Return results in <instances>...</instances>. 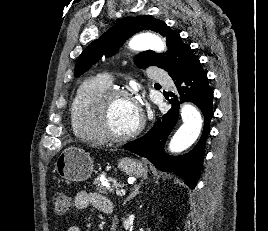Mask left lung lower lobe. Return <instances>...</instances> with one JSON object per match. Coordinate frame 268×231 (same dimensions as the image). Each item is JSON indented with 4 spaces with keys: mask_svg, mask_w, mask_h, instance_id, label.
<instances>
[{
    "mask_svg": "<svg viewBox=\"0 0 268 231\" xmlns=\"http://www.w3.org/2000/svg\"><path fill=\"white\" fill-rule=\"evenodd\" d=\"M171 78L177 87L176 94L172 95L174 98L170 100L172 108L155 122L145 136L125 144L123 148L148 158L161 171L177 174L194 189L199 179L205 142L213 115V92L197 57L181 72L171 75ZM184 101L193 102L202 111L205 120L203 133L197 145L187 154L168 156L164 153V144L177 123L179 105Z\"/></svg>",
    "mask_w": 268,
    "mask_h": 231,
    "instance_id": "1",
    "label": "left lung lower lobe"
}]
</instances>
